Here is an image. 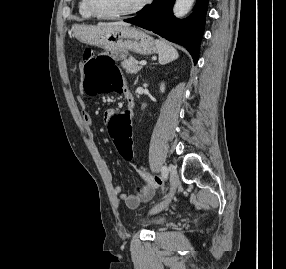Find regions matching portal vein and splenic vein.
Returning a JSON list of instances; mask_svg holds the SVG:
<instances>
[{
    "label": "portal vein and splenic vein",
    "mask_w": 286,
    "mask_h": 269,
    "mask_svg": "<svg viewBox=\"0 0 286 269\" xmlns=\"http://www.w3.org/2000/svg\"><path fill=\"white\" fill-rule=\"evenodd\" d=\"M140 65H146V61L145 60L140 61Z\"/></svg>",
    "instance_id": "1"
}]
</instances>
